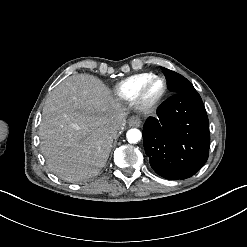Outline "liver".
<instances>
[{"label": "liver", "instance_id": "6515ba94", "mask_svg": "<svg viewBox=\"0 0 247 247\" xmlns=\"http://www.w3.org/2000/svg\"><path fill=\"white\" fill-rule=\"evenodd\" d=\"M128 110L96 76L64 79L46 100L39 126L40 149L49 169L68 182L94 177L112 148L109 126L124 129Z\"/></svg>", "mask_w": 247, "mask_h": 247}]
</instances>
